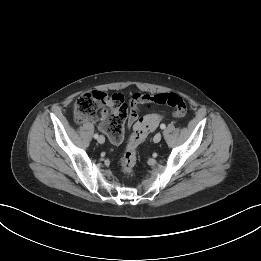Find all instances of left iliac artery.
I'll use <instances>...</instances> for the list:
<instances>
[{
  "mask_svg": "<svg viewBox=\"0 0 261 261\" xmlns=\"http://www.w3.org/2000/svg\"><path fill=\"white\" fill-rule=\"evenodd\" d=\"M165 127H166L165 124H161V125H160V128H161V129H165Z\"/></svg>",
  "mask_w": 261,
  "mask_h": 261,
  "instance_id": "obj_1",
  "label": "left iliac artery"
}]
</instances>
